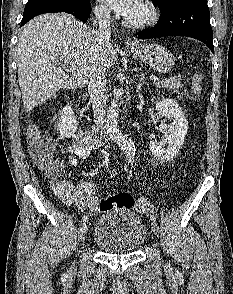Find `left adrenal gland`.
Returning <instances> with one entry per match:
<instances>
[{"label": "left adrenal gland", "instance_id": "obj_1", "mask_svg": "<svg viewBox=\"0 0 233 294\" xmlns=\"http://www.w3.org/2000/svg\"><path fill=\"white\" fill-rule=\"evenodd\" d=\"M144 83H146V82H145V77H144V74H141V75H140V79H139V84H138V86H137V89H138V90L141 89V87H142V85H143Z\"/></svg>", "mask_w": 233, "mask_h": 294}]
</instances>
